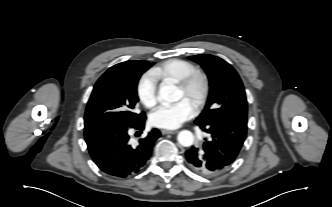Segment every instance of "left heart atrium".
I'll list each match as a JSON object with an SVG mask.
<instances>
[{"label": "left heart atrium", "mask_w": 332, "mask_h": 207, "mask_svg": "<svg viewBox=\"0 0 332 207\" xmlns=\"http://www.w3.org/2000/svg\"><path fill=\"white\" fill-rule=\"evenodd\" d=\"M195 115V107L191 102L182 99L179 102L161 105L150 115L153 126L162 129H176Z\"/></svg>", "instance_id": "obj_1"}]
</instances>
